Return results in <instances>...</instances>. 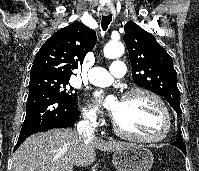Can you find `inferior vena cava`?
I'll return each mask as SVG.
<instances>
[{"label": "inferior vena cava", "mask_w": 199, "mask_h": 171, "mask_svg": "<svg viewBox=\"0 0 199 171\" xmlns=\"http://www.w3.org/2000/svg\"><path fill=\"white\" fill-rule=\"evenodd\" d=\"M94 129L95 125L91 118H85L84 120L79 121L77 124L78 134L84 135L88 138L94 137Z\"/></svg>", "instance_id": "obj_1"}]
</instances>
